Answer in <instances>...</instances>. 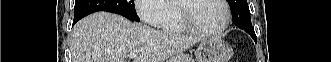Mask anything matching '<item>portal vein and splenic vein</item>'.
<instances>
[{
    "label": "portal vein and splenic vein",
    "instance_id": "1",
    "mask_svg": "<svg viewBox=\"0 0 331 62\" xmlns=\"http://www.w3.org/2000/svg\"><path fill=\"white\" fill-rule=\"evenodd\" d=\"M142 51H143V48L135 49V50H133V51L130 52V57H135V56H137Z\"/></svg>",
    "mask_w": 331,
    "mask_h": 62
}]
</instances>
